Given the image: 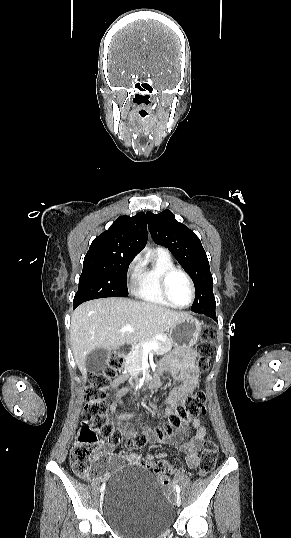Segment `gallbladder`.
<instances>
[{
  "label": "gallbladder",
  "instance_id": "bac80fb5",
  "mask_svg": "<svg viewBox=\"0 0 291 538\" xmlns=\"http://www.w3.org/2000/svg\"><path fill=\"white\" fill-rule=\"evenodd\" d=\"M109 351L106 349L92 350L86 357L85 367L90 373H97L101 371L108 360Z\"/></svg>",
  "mask_w": 291,
  "mask_h": 538
}]
</instances>
